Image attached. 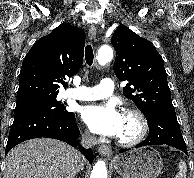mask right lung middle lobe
<instances>
[{
    "label": "right lung middle lobe",
    "instance_id": "obj_1",
    "mask_svg": "<svg viewBox=\"0 0 194 178\" xmlns=\"http://www.w3.org/2000/svg\"><path fill=\"white\" fill-rule=\"evenodd\" d=\"M26 110H42L56 115L70 113L65 109L64 104H61V102L56 99V96L35 98L17 102L14 113Z\"/></svg>",
    "mask_w": 194,
    "mask_h": 178
}]
</instances>
